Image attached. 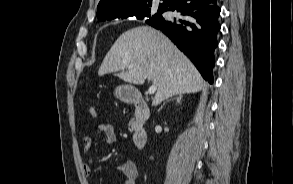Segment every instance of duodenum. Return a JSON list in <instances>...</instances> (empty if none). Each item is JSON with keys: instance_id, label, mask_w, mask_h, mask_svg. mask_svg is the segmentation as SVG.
<instances>
[{"instance_id": "1", "label": "duodenum", "mask_w": 293, "mask_h": 184, "mask_svg": "<svg viewBox=\"0 0 293 184\" xmlns=\"http://www.w3.org/2000/svg\"><path fill=\"white\" fill-rule=\"evenodd\" d=\"M131 101L135 107L136 124L134 126L132 140L134 145L141 149L147 142V131L144 127V122L150 115L149 106L145 98L138 93H134L131 96Z\"/></svg>"}]
</instances>
